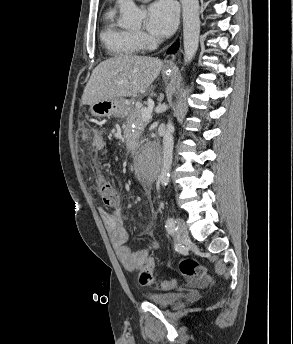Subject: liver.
Returning a JSON list of instances; mask_svg holds the SVG:
<instances>
[{
    "label": "liver",
    "instance_id": "liver-1",
    "mask_svg": "<svg viewBox=\"0 0 293 344\" xmlns=\"http://www.w3.org/2000/svg\"><path fill=\"white\" fill-rule=\"evenodd\" d=\"M163 62L158 58L119 55L100 63L84 89L82 103L136 96L158 77Z\"/></svg>",
    "mask_w": 293,
    "mask_h": 344
}]
</instances>
